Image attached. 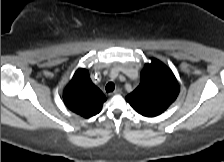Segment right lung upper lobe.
<instances>
[{
	"mask_svg": "<svg viewBox=\"0 0 224 162\" xmlns=\"http://www.w3.org/2000/svg\"><path fill=\"white\" fill-rule=\"evenodd\" d=\"M66 106L78 115L89 118L98 114L106 101L105 95L91 81L87 69L79 68L64 90Z\"/></svg>",
	"mask_w": 224,
	"mask_h": 162,
	"instance_id": "1",
	"label": "right lung upper lobe"
}]
</instances>
